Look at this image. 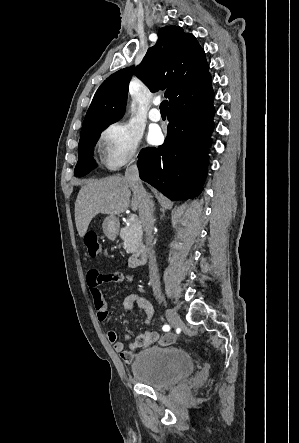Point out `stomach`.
<instances>
[{
	"instance_id": "0dacf381",
	"label": "stomach",
	"mask_w": 299,
	"mask_h": 443,
	"mask_svg": "<svg viewBox=\"0 0 299 443\" xmlns=\"http://www.w3.org/2000/svg\"><path fill=\"white\" fill-rule=\"evenodd\" d=\"M103 232L107 238L114 241L119 231V221L115 216H108L105 218L103 225Z\"/></svg>"
}]
</instances>
